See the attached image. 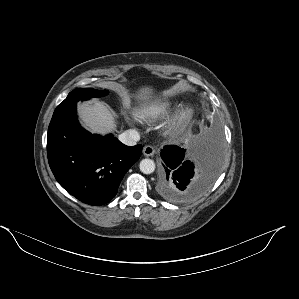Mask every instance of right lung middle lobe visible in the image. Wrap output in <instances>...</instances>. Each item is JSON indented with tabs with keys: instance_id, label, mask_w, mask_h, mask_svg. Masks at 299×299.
Listing matches in <instances>:
<instances>
[{
	"instance_id": "1",
	"label": "right lung middle lobe",
	"mask_w": 299,
	"mask_h": 299,
	"mask_svg": "<svg viewBox=\"0 0 299 299\" xmlns=\"http://www.w3.org/2000/svg\"><path fill=\"white\" fill-rule=\"evenodd\" d=\"M108 91H98L92 88H78L70 92L67 98L61 102L57 108L55 109L54 113H57L73 104H76L79 100H87L91 97H102L106 96Z\"/></svg>"
}]
</instances>
